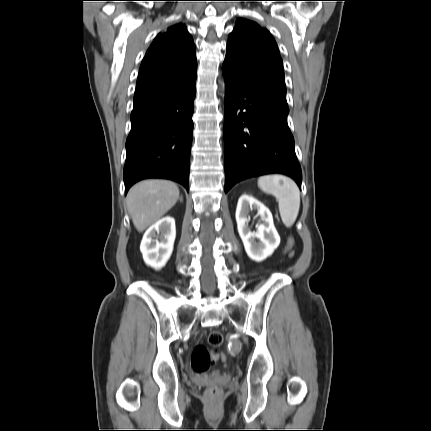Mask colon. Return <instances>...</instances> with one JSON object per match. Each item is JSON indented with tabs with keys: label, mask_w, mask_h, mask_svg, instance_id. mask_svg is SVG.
Listing matches in <instances>:
<instances>
[{
	"label": "colon",
	"mask_w": 431,
	"mask_h": 431,
	"mask_svg": "<svg viewBox=\"0 0 431 431\" xmlns=\"http://www.w3.org/2000/svg\"><path fill=\"white\" fill-rule=\"evenodd\" d=\"M293 245V239H289L287 247L290 248ZM281 256H286V251H281ZM223 343V335L217 330H212L207 336V344H198L192 353L191 365L192 369L197 374L205 373L211 366H218L222 361H226L225 354H218L216 349ZM220 390L217 386H211L207 389V396L209 398H215L219 395Z\"/></svg>",
	"instance_id": "5ec220e1"
}]
</instances>
